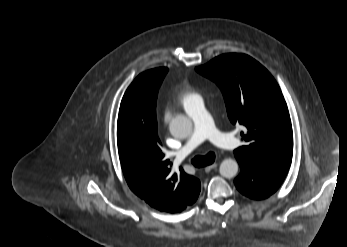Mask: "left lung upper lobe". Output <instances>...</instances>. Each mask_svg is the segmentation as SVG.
Segmentation results:
<instances>
[{
	"label": "left lung upper lobe",
	"instance_id": "1",
	"mask_svg": "<svg viewBox=\"0 0 347 247\" xmlns=\"http://www.w3.org/2000/svg\"><path fill=\"white\" fill-rule=\"evenodd\" d=\"M197 72L221 89L233 124L246 127V145L234 151L236 158L259 166L290 167L293 132L287 104L272 75L244 54H224Z\"/></svg>",
	"mask_w": 347,
	"mask_h": 247
}]
</instances>
